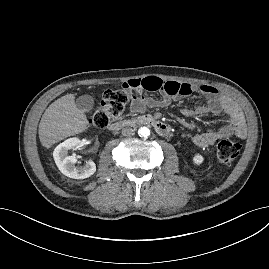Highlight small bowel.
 Masks as SVG:
<instances>
[{"label": "small bowel", "mask_w": 269, "mask_h": 269, "mask_svg": "<svg viewBox=\"0 0 269 269\" xmlns=\"http://www.w3.org/2000/svg\"><path fill=\"white\" fill-rule=\"evenodd\" d=\"M123 86L127 87L132 94L130 110L135 113L142 112L146 107H164L172 100L183 99L195 93L205 97L206 104L199 106L194 111L184 110L186 115L226 114L228 122L220 129L188 134L194 145L199 148H207L232 135L240 138L247 135L245 118L241 109L213 86L163 81L154 76L144 79H131L125 82ZM145 92H160L161 97H148Z\"/></svg>", "instance_id": "c3829d8e"}]
</instances>
